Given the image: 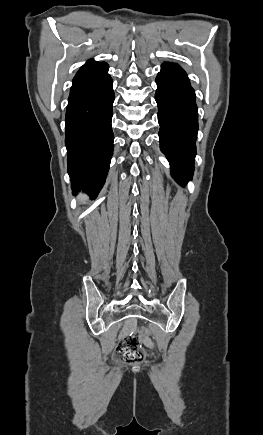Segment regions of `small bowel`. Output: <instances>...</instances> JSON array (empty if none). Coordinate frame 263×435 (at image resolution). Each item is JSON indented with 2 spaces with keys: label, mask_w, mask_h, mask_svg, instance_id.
I'll return each instance as SVG.
<instances>
[{
  "label": "small bowel",
  "mask_w": 263,
  "mask_h": 435,
  "mask_svg": "<svg viewBox=\"0 0 263 435\" xmlns=\"http://www.w3.org/2000/svg\"><path fill=\"white\" fill-rule=\"evenodd\" d=\"M147 348H152V343H147Z\"/></svg>",
  "instance_id": "small-bowel-1"
}]
</instances>
